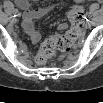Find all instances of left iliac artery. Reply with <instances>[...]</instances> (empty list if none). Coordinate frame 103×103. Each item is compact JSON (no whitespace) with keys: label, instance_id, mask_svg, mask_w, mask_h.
Listing matches in <instances>:
<instances>
[{"label":"left iliac artery","instance_id":"obj_1","mask_svg":"<svg viewBox=\"0 0 103 103\" xmlns=\"http://www.w3.org/2000/svg\"><path fill=\"white\" fill-rule=\"evenodd\" d=\"M86 19H87V20H91V19H92V14H91L90 12H88V13L86 14Z\"/></svg>","mask_w":103,"mask_h":103}]
</instances>
